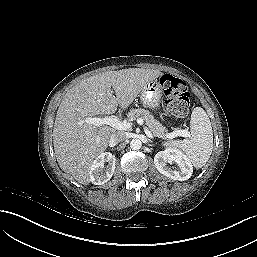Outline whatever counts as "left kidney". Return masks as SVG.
<instances>
[{"instance_id":"left-kidney-1","label":"left kidney","mask_w":257,"mask_h":257,"mask_svg":"<svg viewBox=\"0 0 257 257\" xmlns=\"http://www.w3.org/2000/svg\"><path fill=\"white\" fill-rule=\"evenodd\" d=\"M154 164L161 174L173 180H188L193 173L190 160L180 150L174 148L158 152L154 157ZM169 164H175V167Z\"/></svg>"}]
</instances>
